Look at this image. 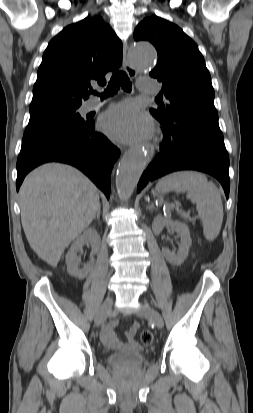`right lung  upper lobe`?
Instances as JSON below:
<instances>
[{"mask_svg": "<svg viewBox=\"0 0 253 413\" xmlns=\"http://www.w3.org/2000/svg\"><path fill=\"white\" fill-rule=\"evenodd\" d=\"M122 43L101 17L65 27L46 48L33 87L30 113L79 107L90 81L106 84L105 74L122 63Z\"/></svg>", "mask_w": 253, "mask_h": 413, "instance_id": "cb5924a9", "label": "right lung upper lobe"}]
</instances>
